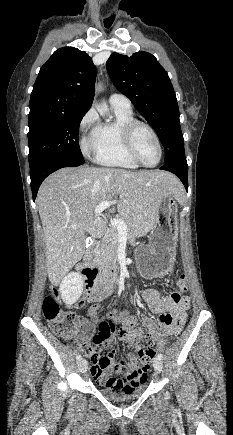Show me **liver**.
Instances as JSON below:
<instances>
[{
	"mask_svg": "<svg viewBox=\"0 0 233 435\" xmlns=\"http://www.w3.org/2000/svg\"><path fill=\"white\" fill-rule=\"evenodd\" d=\"M184 193L180 181L160 170L138 172L116 168H62L47 177L36 203L44 231L48 278L57 283L85 252L86 233L99 238L106 222L94 215L103 201L119 196L117 210L134 236L149 232L161 202ZM114 210V208H113Z\"/></svg>",
	"mask_w": 233,
	"mask_h": 435,
	"instance_id": "1",
	"label": "liver"
}]
</instances>
